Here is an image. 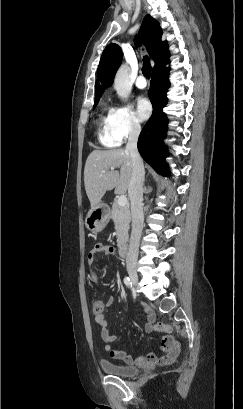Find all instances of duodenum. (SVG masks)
I'll return each instance as SVG.
<instances>
[{
	"mask_svg": "<svg viewBox=\"0 0 243 409\" xmlns=\"http://www.w3.org/2000/svg\"><path fill=\"white\" fill-rule=\"evenodd\" d=\"M119 255L121 257H126L128 255V246L126 244H121L119 246Z\"/></svg>",
	"mask_w": 243,
	"mask_h": 409,
	"instance_id": "obj_1",
	"label": "duodenum"
}]
</instances>
